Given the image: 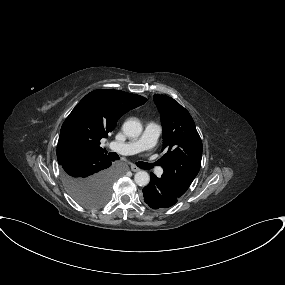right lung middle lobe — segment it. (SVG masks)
Instances as JSON below:
<instances>
[{
	"instance_id": "1",
	"label": "right lung middle lobe",
	"mask_w": 285,
	"mask_h": 285,
	"mask_svg": "<svg viewBox=\"0 0 285 285\" xmlns=\"http://www.w3.org/2000/svg\"><path fill=\"white\" fill-rule=\"evenodd\" d=\"M64 185L72 198L80 205L95 208L103 206L110 198L111 181H87L67 178L62 173Z\"/></svg>"
}]
</instances>
